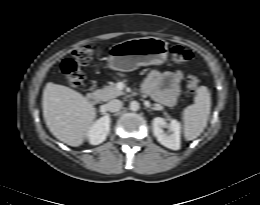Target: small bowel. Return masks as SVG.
<instances>
[{"instance_id":"obj_1","label":"small bowel","mask_w":260,"mask_h":205,"mask_svg":"<svg viewBox=\"0 0 260 205\" xmlns=\"http://www.w3.org/2000/svg\"><path fill=\"white\" fill-rule=\"evenodd\" d=\"M183 75L181 70L173 72L152 70L144 83V92L162 104L174 106L178 99L179 85Z\"/></svg>"}]
</instances>
